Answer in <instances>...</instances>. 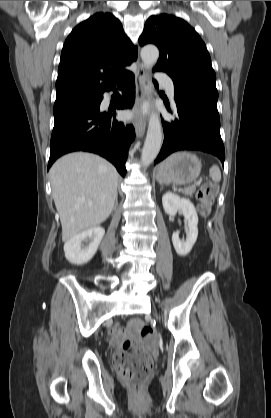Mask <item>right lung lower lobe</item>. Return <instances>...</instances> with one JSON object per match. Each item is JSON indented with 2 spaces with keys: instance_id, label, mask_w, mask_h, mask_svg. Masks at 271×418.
I'll return each instance as SVG.
<instances>
[{
  "instance_id": "right-lung-lower-lobe-1",
  "label": "right lung lower lobe",
  "mask_w": 271,
  "mask_h": 418,
  "mask_svg": "<svg viewBox=\"0 0 271 418\" xmlns=\"http://www.w3.org/2000/svg\"><path fill=\"white\" fill-rule=\"evenodd\" d=\"M123 88L117 103L118 109L132 107L135 100L134 76L127 72L117 81ZM115 91V85L106 91ZM99 100L93 103L65 109L54 115V128L50 141L48 170L60 156L74 151L99 154L117 168L124 177L128 148L135 137L134 127L115 120V112L100 111Z\"/></svg>"
}]
</instances>
